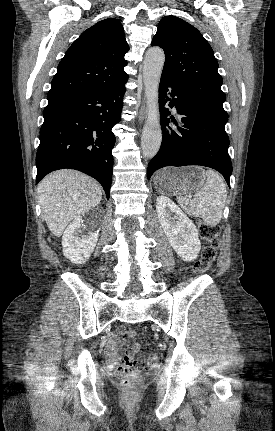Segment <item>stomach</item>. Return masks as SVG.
Listing matches in <instances>:
<instances>
[{"mask_svg": "<svg viewBox=\"0 0 275 431\" xmlns=\"http://www.w3.org/2000/svg\"><path fill=\"white\" fill-rule=\"evenodd\" d=\"M205 179L200 167L165 168L155 174L154 185L161 193L181 196L199 190Z\"/></svg>", "mask_w": 275, "mask_h": 431, "instance_id": "0dacf381", "label": "stomach"}]
</instances>
